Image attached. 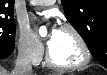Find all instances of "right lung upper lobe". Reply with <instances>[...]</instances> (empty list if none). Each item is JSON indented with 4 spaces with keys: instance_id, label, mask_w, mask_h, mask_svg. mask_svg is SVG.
<instances>
[{
    "instance_id": "right-lung-upper-lobe-1",
    "label": "right lung upper lobe",
    "mask_w": 107,
    "mask_h": 75,
    "mask_svg": "<svg viewBox=\"0 0 107 75\" xmlns=\"http://www.w3.org/2000/svg\"><path fill=\"white\" fill-rule=\"evenodd\" d=\"M15 0H0V18H13Z\"/></svg>"
}]
</instances>
